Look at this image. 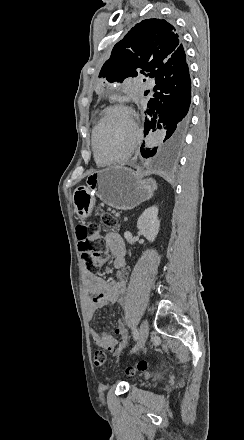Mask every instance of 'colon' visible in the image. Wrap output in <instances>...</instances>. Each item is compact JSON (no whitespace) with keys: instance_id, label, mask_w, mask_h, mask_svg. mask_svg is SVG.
I'll return each mask as SVG.
<instances>
[{"instance_id":"5ec220e1","label":"colon","mask_w":244,"mask_h":440,"mask_svg":"<svg viewBox=\"0 0 244 440\" xmlns=\"http://www.w3.org/2000/svg\"><path fill=\"white\" fill-rule=\"evenodd\" d=\"M99 219L90 224H80L76 228V239L78 241V250L87 260V269L89 272H95L105 262L107 258V242L102 234V228H119L115 216L109 213L98 214ZM92 362L95 367H104L107 364V358L104 351L95 349L92 355ZM148 369L146 361H140L136 366H129L126 370L128 375L136 372L145 373Z\"/></svg>"}]
</instances>
